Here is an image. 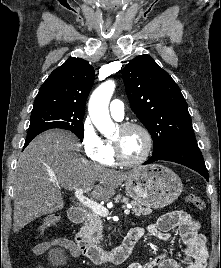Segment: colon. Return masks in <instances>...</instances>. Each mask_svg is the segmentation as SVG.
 <instances>
[{
    "label": "colon",
    "instance_id": "5ec220e1",
    "mask_svg": "<svg viewBox=\"0 0 221 268\" xmlns=\"http://www.w3.org/2000/svg\"><path fill=\"white\" fill-rule=\"evenodd\" d=\"M186 201L198 209L205 208V202L203 199L197 195H188ZM60 218L57 214H50L43 219V222L40 226V230L55 228L59 225Z\"/></svg>",
    "mask_w": 221,
    "mask_h": 268
}]
</instances>
